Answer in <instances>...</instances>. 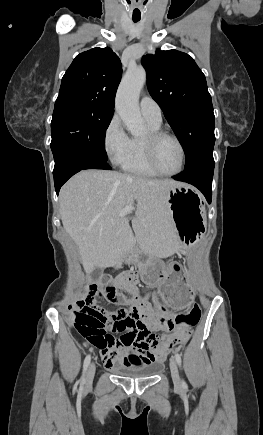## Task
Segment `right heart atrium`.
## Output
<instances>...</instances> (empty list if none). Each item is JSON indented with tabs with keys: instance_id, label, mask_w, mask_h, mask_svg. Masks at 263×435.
I'll return each mask as SVG.
<instances>
[{
	"instance_id": "right-heart-atrium-1",
	"label": "right heart atrium",
	"mask_w": 263,
	"mask_h": 435,
	"mask_svg": "<svg viewBox=\"0 0 263 435\" xmlns=\"http://www.w3.org/2000/svg\"><path fill=\"white\" fill-rule=\"evenodd\" d=\"M130 139L119 116L113 115L103 134L104 150L112 163L122 165L128 154Z\"/></svg>"
}]
</instances>
